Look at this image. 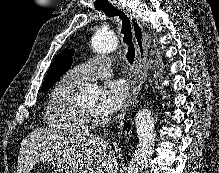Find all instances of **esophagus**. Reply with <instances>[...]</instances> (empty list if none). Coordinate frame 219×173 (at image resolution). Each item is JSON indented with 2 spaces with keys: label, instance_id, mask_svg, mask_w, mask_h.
Returning <instances> with one entry per match:
<instances>
[{
  "label": "esophagus",
  "instance_id": "obj_1",
  "mask_svg": "<svg viewBox=\"0 0 219 173\" xmlns=\"http://www.w3.org/2000/svg\"><path fill=\"white\" fill-rule=\"evenodd\" d=\"M114 5L116 8L123 11L128 16L131 22L132 33H133V38L137 52V67L139 71L145 64L148 54V38H149L148 34L144 31L142 25L135 17V15L132 14L127 7L123 6L121 3H115ZM140 85H141V76L136 75L131 86L130 98L127 102L128 109L133 108L134 105L136 104L138 89Z\"/></svg>",
  "mask_w": 219,
  "mask_h": 173
}]
</instances>
